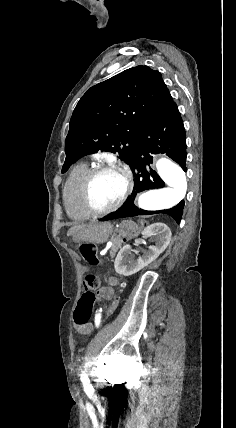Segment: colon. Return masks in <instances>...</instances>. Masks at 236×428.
Listing matches in <instances>:
<instances>
[{
  "label": "colon",
  "mask_w": 236,
  "mask_h": 428,
  "mask_svg": "<svg viewBox=\"0 0 236 428\" xmlns=\"http://www.w3.org/2000/svg\"><path fill=\"white\" fill-rule=\"evenodd\" d=\"M78 250L88 263L92 265H97L100 263V260L97 256V248L94 244L82 243L78 246ZM83 284L85 293L80 298L74 312V324L80 331H83L88 326L96 301L94 291L99 288L100 280L96 276L90 274L85 276ZM117 304L118 300L116 299L108 309L109 314L116 309Z\"/></svg>",
  "instance_id": "colon-1"
}]
</instances>
